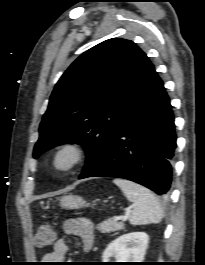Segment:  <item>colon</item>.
I'll use <instances>...</instances> for the list:
<instances>
[{
    "label": "colon",
    "instance_id": "5ec220e1",
    "mask_svg": "<svg viewBox=\"0 0 205 265\" xmlns=\"http://www.w3.org/2000/svg\"><path fill=\"white\" fill-rule=\"evenodd\" d=\"M35 245L40 249L49 248L55 243V233L49 224L39 225L34 236Z\"/></svg>",
    "mask_w": 205,
    "mask_h": 265
}]
</instances>
